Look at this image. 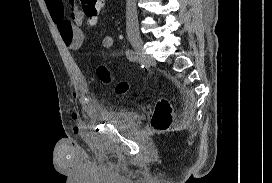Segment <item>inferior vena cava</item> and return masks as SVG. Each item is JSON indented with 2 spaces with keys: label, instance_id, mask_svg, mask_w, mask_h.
<instances>
[{
  "label": "inferior vena cava",
  "instance_id": "obj_1",
  "mask_svg": "<svg viewBox=\"0 0 272 183\" xmlns=\"http://www.w3.org/2000/svg\"><path fill=\"white\" fill-rule=\"evenodd\" d=\"M138 27V16L135 0H127L126 3V29L132 31Z\"/></svg>",
  "mask_w": 272,
  "mask_h": 183
}]
</instances>
